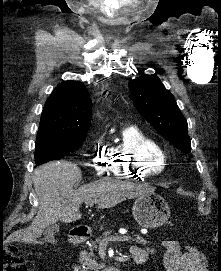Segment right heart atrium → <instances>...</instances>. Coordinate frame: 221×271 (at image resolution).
I'll return each instance as SVG.
<instances>
[{
    "label": "right heart atrium",
    "mask_w": 221,
    "mask_h": 271,
    "mask_svg": "<svg viewBox=\"0 0 221 271\" xmlns=\"http://www.w3.org/2000/svg\"><path fill=\"white\" fill-rule=\"evenodd\" d=\"M115 155L113 151H97L96 156L92 157V170H98L97 177H106V173H114L115 171H109V166L111 161L115 160Z\"/></svg>",
    "instance_id": "obj_1"
}]
</instances>
